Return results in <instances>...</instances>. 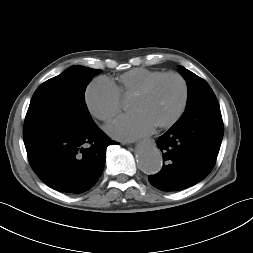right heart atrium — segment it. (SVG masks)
Instances as JSON below:
<instances>
[{
  "label": "right heart atrium",
  "mask_w": 253,
  "mask_h": 253,
  "mask_svg": "<svg viewBox=\"0 0 253 253\" xmlns=\"http://www.w3.org/2000/svg\"><path fill=\"white\" fill-rule=\"evenodd\" d=\"M85 104L90 114L108 122L121 111V97L114 85L104 77L94 79L85 91Z\"/></svg>",
  "instance_id": "right-heart-atrium-1"
}]
</instances>
